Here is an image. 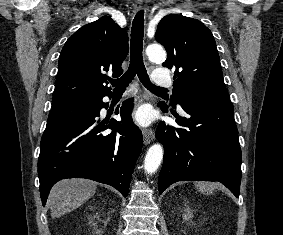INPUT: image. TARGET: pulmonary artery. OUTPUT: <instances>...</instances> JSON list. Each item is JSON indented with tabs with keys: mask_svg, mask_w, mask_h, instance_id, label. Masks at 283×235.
<instances>
[{
	"mask_svg": "<svg viewBox=\"0 0 283 235\" xmlns=\"http://www.w3.org/2000/svg\"><path fill=\"white\" fill-rule=\"evenodd\" d=\"M153 79L155 83L160 87H171L172 80L168 77L166 71L157 69L153 73Z\"/></svg>",
	"mask_w": 283,
	"mask_h": 235,
	"instance_id": "1",
	"label": "pulmonary artery"
}]
</instances>
